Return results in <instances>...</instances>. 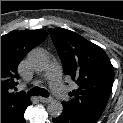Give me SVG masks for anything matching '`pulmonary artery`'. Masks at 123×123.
Wrapping results in <instances>:
<instances>
[{
    "label": "pulmonary artery",
    "instance_id": "obj_1",
    "mask_svg": "<svg viewBox=\"0 0 123 123\" xmlns=\"http://www.w3.org/2000/svg\"><path fill=\"white\" fill-rule=\"evenodd\" d=\"M45 77L49 80L52 91L59 99L65 101L69 99L67 89L61 81V70L57 63L53 62L48 66Z\"/></svg>",
    "mask_w": 123,
    "mask_h": 123
}]
</instances>
